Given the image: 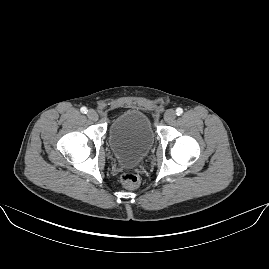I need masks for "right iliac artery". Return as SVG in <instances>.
I'll use <instances>...</instances> for the list:
<instances>
[{
	"mask_svg": "<svg viewBox=\"0 0 269 269\" xmlns=\"http://www.w3.org/2000/svg\"><path fill=\"white\" fill-rule=\"evenodd\" d=\"M80 111H81L82 113H85V114H86L88 110H87L86 107H82V108L80 109Z\"/></svg>",
	"mask_w": 269,
	"mask_h": 269,
	"instance_id": "obj_1",
	"label": "right iliac artery"
}]
</instances>
